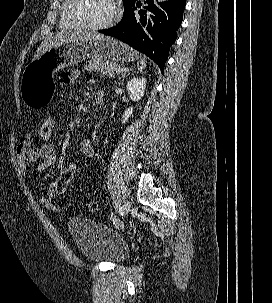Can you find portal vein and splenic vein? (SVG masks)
Listing matches in <instances>:
<instances>
[{
	"instance_id": "portal-vein-and-splenic-vein-1",
	"label": "portal vein and splenic vein",
	"mask_w": 272,
	"mask_h": 303,
	"mask_svg": "<svg viewBox=\"0 0 272 303\" xmlns=\"http://www.w3.org/2000/svg\"><path fill=\"white\" fill-rule=\"evenodd\" d=\"M116 71H117L118 73H122V72L124 71V69H123V68H118V69H116Z\"/></svg>"
}]
</instances>
